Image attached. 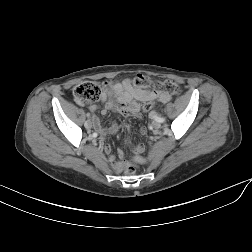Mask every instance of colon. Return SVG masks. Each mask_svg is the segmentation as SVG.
Here are the masks:
<instances>
[{"label": "colon", "mask_w": 252, "mask_h": 252, "mask_svg": "<svg viewBox=\"0 0 252 252\" xmlns=\"http://www.w3.org/2000/svg\"><path fill=\"white\" fill-rule=\"evenodd\" d=\"M134 85L141 89H147L151 86L150 78L143 74H138L133 81ZM152 90L156 93H165L168 95L177 94L179 85L173 80H159L152 84ZM74 97L81 102L98 101L102 99L103 93L101 87L94 82H83L78 84L73 89ZM153 107L152 104H147L145 110L149 111ZM125 172L132 175L136 172V167L132 163L125 166Z\"/></svg>", "instance_id": "obj_1"}]
</instances>
